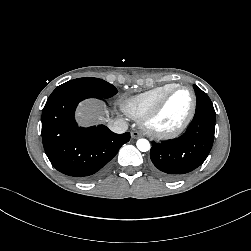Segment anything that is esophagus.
Listing matches in <instances>:
<instances>
[{
	"instance_id": "esophagus-1",
	"label": "esophagus",
	"mask_w": 251,
	"mask_h": 251,
	"mask_svg": "<svg viewBox=\"0 0 251 251\" xmlns=\"http://www.w3.org/2000/svg\"><path fill=\"white\" fill-rule=\"evenodd\" d=\"M131 137H132L133 139H138V138L142 137V134H141L140 132H138V131H133V132L131 133Z\"/></svg>"
}]
</instances>
